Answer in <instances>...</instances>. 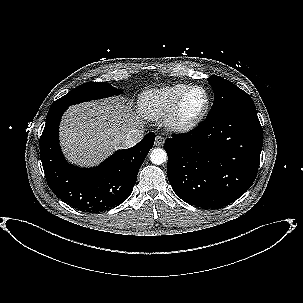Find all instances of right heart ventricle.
Wrapping results in <instances>:
<instances>
[{
	"label": "right heart ventricle",
	"mask_w": 303,
	"mask_h": 303,
	"mask_svg": "<svg viewBox=\"0 0 303 303\" xmlns=\"http://www.w3.org/2000/svg\"><path fill=\"white\" fill-rule=\"evenodd\" d=\"M191 85L176 83L144 91L139 97V111L148 120H157L172 110L180 96Z\"/></svg>",
	"instance_id": "obj_1"
}]
</instances>
